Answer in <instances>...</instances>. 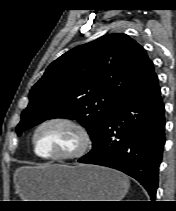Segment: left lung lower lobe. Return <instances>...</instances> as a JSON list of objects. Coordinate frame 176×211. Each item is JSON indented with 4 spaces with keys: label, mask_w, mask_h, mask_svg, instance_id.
<instances>
[{
    "label": "left lung lower lobe",
    "mask_w": 176,
    "mask_h": 211,
    "mask_svg": "<svg viewBox=\"0 0 176 211\" xmlns=\"http://www.w3.org/2000/svg\"><path fill=\"white\" fill-rule=\"evenodd\" d=\"M164 144V104L156 82L113 112L93 149L79 162L107 166L130 175L154 200Z\"/></svg>",
    "instance_id": "obj_1"
}]
</instances>
